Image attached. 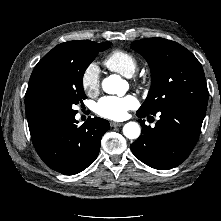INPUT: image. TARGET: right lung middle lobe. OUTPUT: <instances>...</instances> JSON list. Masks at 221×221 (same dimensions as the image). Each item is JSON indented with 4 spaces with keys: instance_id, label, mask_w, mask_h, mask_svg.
<instances>
[{
    "instance_id": "right-lung-middle-lobe-1",
    "label": "right lung middle lobe",
    "mask_w": 221,
    "mask_h": 221,
    "mask_svg": "<svg viewBox=\"0 0 221 221\" xmlns=\"http://www.w3.org/2000/svg\"><path fill=\"white\" fill-rule=\"evenodd\" d=\"M110 45L111 42L84 41L44 56L32 72L35 75V103H51L73 110V105L86 98L82 81L86 68L99 51Z\"/></svg>"
}]
</instances>
